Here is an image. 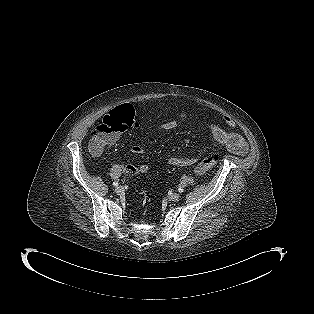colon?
I'll list each match as a JSON object with an SVG mask.
<instances>
[{
	"label": "colon",
	"instance_id": "colon-1",
	"mask_svg": "<svg viewBox=\"0 0 314 314\" xmlns=\"http://www.w3.org/2000/svg\"><path fill=\"white\" fill-rule=\"evenodd\" d=\"M134 124V111L131 105L118 106L104 117L101 124L92 130L90 151L93 154H100L103 148L112 143L119 133L126 131ZM219 159L220 155L217 152H209L197 165L196 172L199 174L206 172L215 166Z\"/></svg>",
	"mask_w": 314,
	"mask_h": 314
}]
</instances>
